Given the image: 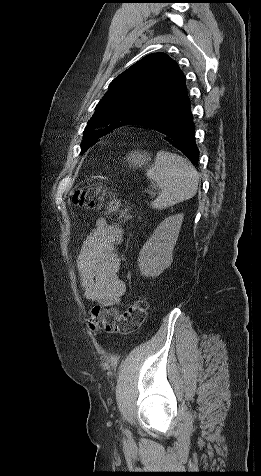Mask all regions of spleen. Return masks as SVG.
I'll return each instance as SVG.
<instances>
[{
    "label": "spleen",
    "mask_w": 261,
    "mask_h": 476,
    "mask_svg": "<svg viewBox=\"0 0 261 476\" xmlns=\"http://www.w3.org/2000/svg\"><path fill=\"white\" fill-rule=\"evenodd\" d=\"M146 176L160 190L159 196L151 202L155 209H165L195 196L199 173L194 166L182 156L159 151L154 165L146 170Z\"/></svg>",
    "instance_id": "3e777b00"
}]
</instances>
